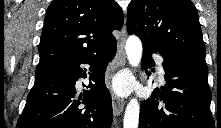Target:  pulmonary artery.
I'll return each instance as SVG.
<instances>
[{
  "label": "pulmonary artery",
  "instance_id": "e3ab8cb5",
  "mask_svg": "<svg viewBox=\"0 0 221 128\" xmlns=\"http://www.w3.org/2000/svg\"><path fill=\"white\" fill-rule=\"evenodd\" d=\"M153 59L156 61L157 69L160 73V75L163 77L164 76V69L162 65V58L158 55H154Z\"/></svg>",
  "mask_w": 221,
  "mask_h": 128
}]
</instances>
